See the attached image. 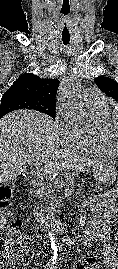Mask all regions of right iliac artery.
<instances>
[{"instance_id": "1", "label": "right iliac artery", "mask_w": 118, "mask_h": 269, "mask_svg": "<svg viewBox=\"0 0 118 269\" xmlns=\"http://www.w3.org/2000/svg\"><path fill=\"white\" fill-rule=\"evenodd\" d=\"M56 260H57V257L56 256H53V258L51 259V262H48V264L54 265V263L56 262Z\"/></svg>"}]
</instances>
